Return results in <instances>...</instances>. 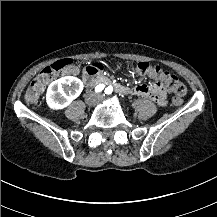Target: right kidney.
<instances>
[{"mask_svg":"<svg viewBox=\"0 0 217 217\" xmlns=\"http://www.w3.org/2000/svg\"><path fill=\"white\" fill-rule=\"evenodd\" d=\"M83 88L84 84L79 78L74 76L61 77L60 79L53 81L47 89V106L51 110L65 109L74 99L79 97ZM65 92H68L69 95Z\"/></svg>","mask_w":217,"mask_h":217,"instance_id":"1","label":"right kidney"}]
</instances>
